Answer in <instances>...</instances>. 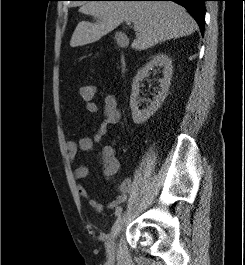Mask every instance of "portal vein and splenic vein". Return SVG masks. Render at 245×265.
I'll list each match as a JSON object with an SVG mask.
<instances>
[{
	"mask_svg": "<svg viewBox=\"0 0 245 265\" xmlns=\"http://www.w3.org/2000/svg\"><path fill=\"white\" fill-rule=\"evenodd\" d=\"M126 23H127L128 25H130V24H131V21L127 20Z\"/></svg>",
	"mask_w": 245,
	"mask_h": 265,
	"instance_id": "portal-vein-and-splenic-vein-1",
	"label": "portal vein and splenic vein"
}]
</instances>
